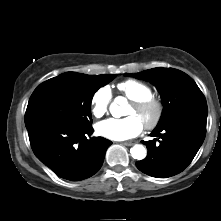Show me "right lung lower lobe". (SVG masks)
Instances as JSON below:
<instances>
[{
	"label": "right lung lower lobe",
	"mask_w": 221,
	"mask_h": 221,
	"mask_svg": "<svg viewBox=\"0 0 221 221\" xmlns=\"http://www.w3.org/2000/svg\"><path fill=\"white\" fill-rule=\"evenodd\" d=\"M36 157L59 177L80 181L101 168L111 141L92 137L93 128L78 129L71 125L41 119L26 125Z\"/></svg>",
	"instance_id": "1"
}]
</instances>
